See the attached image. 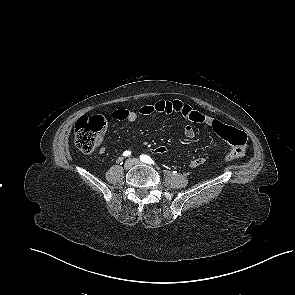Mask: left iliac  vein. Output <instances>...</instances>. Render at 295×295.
<instances>
[{
	"label": "left iliac vein",
	"mask_w": 295,
	"mask_h": 295,
	"mask_svg": "<svg viewBox=\"0 0 295 295\" xmlns=\"http://www.w3.org/2000/svg\"><path fill=\"white\" fill-rule=\"evenodd\" d=\"M131 161L133 162L134 165H140V164H142V162L139 159H137V158H133V159H131Z\"/></svg>",
	"instance_id": "left-iliac-vein-1"
}]
</instances>
